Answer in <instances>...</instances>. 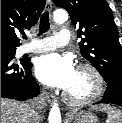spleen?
I'll return each mask as SVG.
<instances>
[{
	"label": "spleen",
	"instance_id": "obj_1",
	"mask_svg": "<svg viewBox=\"0 0 122 123\" xmlns=\"http://www.w3.org/2000/svg\"><path fill=\"white\" fill-rule=\"evenodd\" d=\"M93 109L105 111L107 113L106 123H122V112L110 105H101Z\"/></svg>",
	"mask_w": 122,
	"mask_h": 123
}]
</instances>
